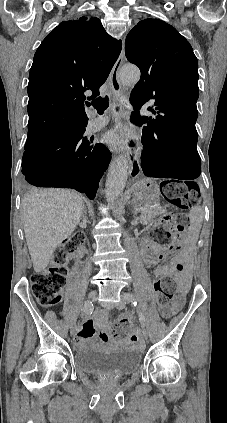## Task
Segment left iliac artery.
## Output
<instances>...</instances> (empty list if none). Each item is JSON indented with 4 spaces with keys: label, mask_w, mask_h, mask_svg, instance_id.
<instances>
[{
    "label": "left iliac artery",
    "mask_w": 227,
    "mask_h": 423,
    "mask_svg": "<svg viewBox=\"0 0 227 423\" xmlns=\"http://www.w3.org/2000/svg\"><path fill=\"white\" fill-rule=\"evenodd\" d=\"M124 298H125L126 302H132L134 304V306H137V300L132 293L131 294L130 293L124 294ZM138 314H139L140 324L142 325V327H144L145 326V318L140 311H138Z\"/></svg>",
    "instance_id": "obj_1"
}]
</instances>
